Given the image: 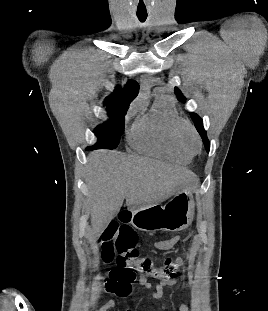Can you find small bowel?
I'll list each match as a JSON object with an SVG mask.
<instances>
[{
	"label": "small bowel",
	"mask_w": 268,
	"mask_h": 311,
	"mask_svg": "<svg viewBox=\"0 0 268 311\" xmlns=\"http://www.w3.org/2000/svg\"><path fill=\"white\" fill-rule=\"evenodd\" d=\"M180 238L181 237L177 235L169 239L157 241L153 243L152 246L157 250H170L180 240ZM179 282H183L187 287H190V284L184 275H178L173 278H161L156 284L150 283L147 279V276L145 275H140L137 280L138 285L144 287L149 292L150 296L159 303V309L161 310L163 309V306L161 305V299L163 297L164 288L173 286ZM114 306L115 302L113 300H108L106 303L100 306L97 311H108ZM179 311H189V306L186 304H181Z\"/></svg>",
	"instance_id": "small-bowel-1"
}]
</instances>
